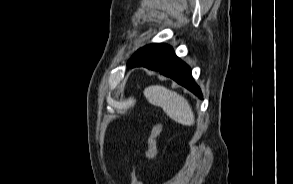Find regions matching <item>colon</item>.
I'll return each instance as SVG.
<instances>
[{
    "instance_id": "5ec220e1",
    "label": "colon",
    "mask_w": 293,
    "mask_h": 184,
    "mask_svg": "<svg viewBox=\"0 0 293 184\" xmlns=\"http://www.w3.org/2000/svg\"><path fill=\"white\" fill-rule=\"evenodd\" d=\"M162 132V125L160 122H155L148 137V148L143 155L145 159H153L157 154V139ZM131 184H143L140 180L137 171L136 164L131 167Z\"/></svg>"
}]
</instances>
